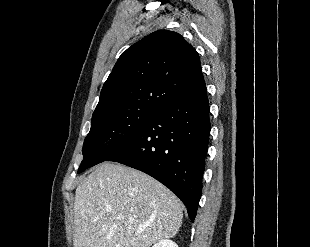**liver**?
Masks as SVG:
<instances>
[{
    "instance_id": "1",
    "label": "liver",
    "mask_w": 310,
    "mask_h": 247,
    "mask_svg": "<svg viewBox=\"0 0 310 247\" xmlns=\"http://www.w3.org/2000/svg\"><path fill=\"white\" fill-rule=\"evenodd\" d=\"M183 204L151 176L104 162L76 188L74 247H149L173 238Z\"/></svg>"
}]
</instances>
